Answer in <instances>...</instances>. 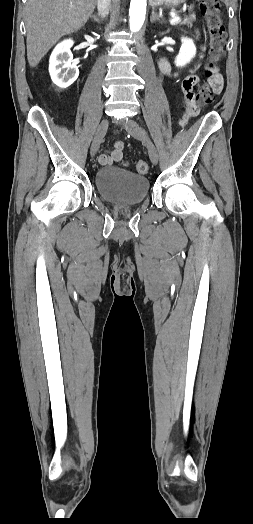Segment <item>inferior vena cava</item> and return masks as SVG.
Segmentation results:
<instances>
[{"mask_svg":"<svg viewBox=\"0 0 253 524\" xmlns=\"http://www.w3.org/2000/svg\"><path fill=\"white\" fill-rule=\"evenodd\" d=\"M111 5V0H97V9L99 12V15L102 17H105L108 12Z\"/></svg>","mask_w":253,"mask_h":524,"instance_id":"obj_1","label":"inferior vena cava"}]
</instances>
